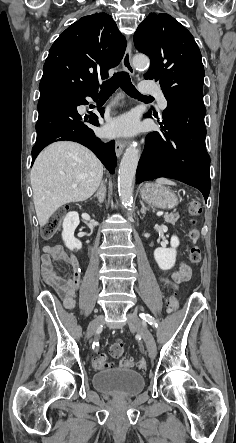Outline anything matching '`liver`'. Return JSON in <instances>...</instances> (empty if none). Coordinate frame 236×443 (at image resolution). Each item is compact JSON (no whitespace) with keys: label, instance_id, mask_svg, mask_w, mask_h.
<instances>
[{"label":"liver","instance_id":"6515ba94","mask_svg":"<svg viewBox=\"0 0 236 443\" xmlns=\"http://www.w3.org/2000/svg\"><path fill=\"white\" fill-rule=\"evenodd\" d=\"M102 177V163L86 147L61 141L45 148L35 160L30 175L39 225L44 226L64 204L90 198Z\"/></svg>","mask_w":236,"mask_h":443}]
</instances>
